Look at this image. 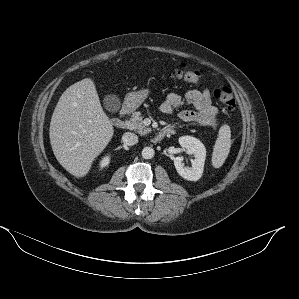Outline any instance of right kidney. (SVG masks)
Returning <instances> with one entry per match:
<instances>
[{
	"mask_svg": "<svg viewBox=\"0 0 299 299\" xmlns=\"http://www.w3.org/2000/svg\"><path fill=\"white\" fill-rule=\"evenodd\" d=\"M109 162H110V156L107 155L101 160L100 167L104 168V167L108 166Z\"/></svg>",
	"mask_w": 299,
	"mask_h": 299,
	"instance_id": "1",
	"label": "right kidney"
}]
</instances>
